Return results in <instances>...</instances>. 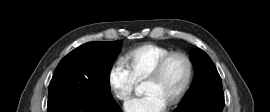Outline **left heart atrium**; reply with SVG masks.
<instances>
[{
    "label": "left heart atrium",
    "mask_w": 270,
    "mask_h": 112,
    "mask_svg": "<svg viewBox=\"0 0 270 112\" xmlns=\"http://www.w3.org/2000/svg\"><path fill=\"white\" fill-rule=\"evenodd\" d=\"M167 103L155 93L130 99L125 104L126 112H164Z\"/></svg>",
    "instance_id": "39dd6f15"
}]
</instances>
